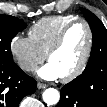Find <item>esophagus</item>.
Here are the masks:
<instances>
[{
  "instance_id": "obj_1",
  "label": "esophagus",
  "mask_w": 107,
  "mask_h": 107,
  "mask_svg": "<svg viewBox=\"0 0 107 107\" xmlns=\"http://www.w3.org/2000/svg\"><path fill=\"white\" fill-rule=\"evenodd\" d=\"M46 87H48L47 84H44V83H41V82H38V83H37V88H38V89H44V88H46Z\"/></svg>"
}]
</instances>
